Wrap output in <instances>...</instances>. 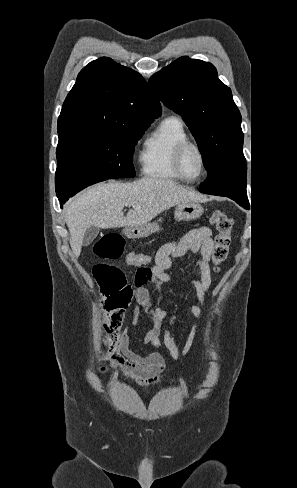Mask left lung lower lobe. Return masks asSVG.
Here are the masks:
<instances>
[{
    "label": "left lung lower lobe",
    "mask_w": 297,
    "mask_h": 488,
    "mask_svg": "<svg viewBox=\"0 0 297 488\" xmlns=\"http://www.w3.org/2000/svg\"><path fill=\"white\" fill-rule=\"evenodd\" d=\"M236 202H237L239 205H241L242 207H245L246 209H248V208H249V203H248V201H242V200L237 199V200H236Z\"/></svg>",
    "instance_id": "1"
}]
</instances>
